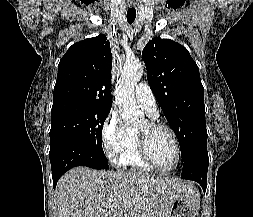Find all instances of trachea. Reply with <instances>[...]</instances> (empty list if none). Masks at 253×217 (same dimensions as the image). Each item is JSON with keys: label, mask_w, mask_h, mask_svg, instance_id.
Returning <instances> with one entry per match:
<instances>
[{"label": "trachea", "mask_w": 253, "mask_h": 217, "mask_svg": "<svg viewBox=\"0 0 253 217\" xmlns=\"http://www.w3.org/2000/svg\"><path fill=\"white\" fill-rule=\"evenodd\" d=\"M136 18V10L134 8L128 9L127 11V21L132 24Z\"/></svg>", "instance_id": "obj_1"}]
</instances>
